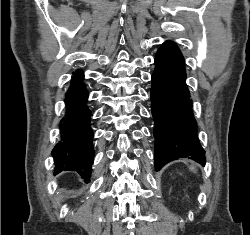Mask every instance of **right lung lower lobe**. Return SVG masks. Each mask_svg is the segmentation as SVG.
<instances>
[{
    "instance_id": "98d812e1",
    "label": "right lung lower lobe",
    "mask_w": 250,
    "mask_h": 235,
    "mask_svg": "<svg viewBox=\"0 0 250 235\" xmlns=\"http://www.w3.org/2000/svg\"><path fill=\"white\" fill-rule=\"evenodd\" d=\"M83 72H73L69 90L65 94L66 116L61 120L62 140L52 151L54 174L74 170L89 180L94 159L93 132L90 127L91 112L86 106L88 92Z\"/></svg>"
}]
</instances>
